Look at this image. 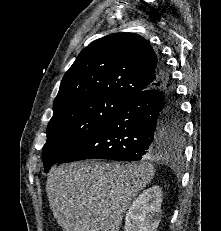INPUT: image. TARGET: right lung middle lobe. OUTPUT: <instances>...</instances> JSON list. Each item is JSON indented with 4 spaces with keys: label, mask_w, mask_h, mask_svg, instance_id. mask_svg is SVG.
<instances>
[{
    "label": "right lung middle lobe",
    "mask_w": 221,
    "mask_h": 231,
    "mask_svg": "<svg viewBox=\"0 0 221 231\" xmlns=\"http://www.w3.org/2000/svg\"><path fill=\"white\" fill-rule=\"evenodd\" d=\"M126 100L113 95L90 96L53 113L42 151L45 172L95 133ZM167 111L170 118L164 137L178 149L183 143L180 108L170 106Z\"/></svg>",
    "instance_id": "1"
}]
</instances>
